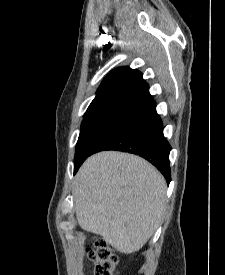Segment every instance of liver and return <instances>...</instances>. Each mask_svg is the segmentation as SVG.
<instances>
[{
	"instance_id": "obj_1",
	"label": "liver",
	"mask_w": 225,
	"mask_h": 275,
	"mask_svg": "<svg viewBox=\"0 0 225 275\" xmlns=\"http://www.w3.org/2000/svg\"><path fill=\"white\" fill-rule=\"evenodd\" d=\"M167 185L143 158L104 151L90 156L74 183L79 226L119 252L140 250L161 223Z\"/></svg>"
}]
</instances>
